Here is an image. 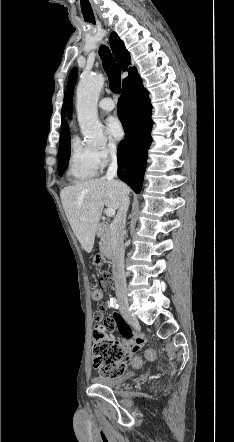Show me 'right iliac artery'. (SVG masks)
I'll list each match as a JSON object with an SVG mask.
<instances>
[{
  "mask_svg": "<svg viewBox=\"0 0 234 442\" xmlns=\"http://www.w3.org/2000/svg\"><path fill=\"white\" fill-rule=\"evenodd\" d=\"M110 305H111V307L117 309L118 306H119V305H118V302H117V299H116V298H111V299H110Z\"/></svg>",
  "mask_w": 234,
  "mask_h": 442,
  "instance_id": "obj_1",
  "label": "right iliac artery"
}]
</instances>
